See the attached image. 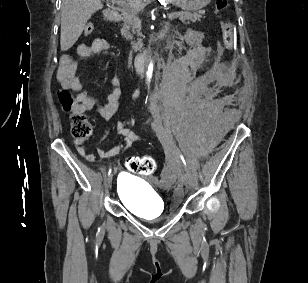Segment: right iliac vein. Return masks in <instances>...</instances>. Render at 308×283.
Wrapping results in <instances>:
<instances>
[{
  "instance_id": "right-iliac-vein-1",
  "label": "right iliac vein",
  "mask_w": 308,
  "mask_h": 283,
  "mask_svg": "<svg viewBox=\"0 0 308 283\" xmlns=\"http://www.w3.org/2000/svg\"><path fill=\"white\" fill-rule=\"evenodd\" d=\"M107 185H108V188H111V186H112V175L109 176V178L107 180Z\"/></svg>"
}]
</instances>
